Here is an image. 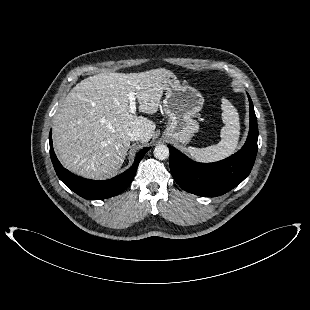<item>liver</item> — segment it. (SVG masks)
<instances>
[{
	"instance_id": "1",
	"label": "liver",
	"mask_w": 310,
	"mask_h": 310,
	"mask_svg": "<svg viewBox=\"0 0 310 310\" xmlns=\"http://www.w3.org/2000/svg\"><path fill=\"white\" fill-rule=\"evenodd\" d=\"M164 68L140 73H100L78 83L55 115L53 142L59 159L70 171L106 179L122 166L130 147L128 133L141 132V143L153 136V121L129 111L133 92L139 111H158L168 76Z\"/></svg>"
}]
</instances>
